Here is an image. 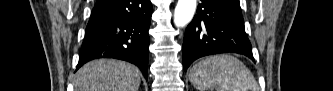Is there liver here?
I'll use <instances>...</instances> for the list:
<instances>
[{
    "instance_id": "6515ba94",
    "label": "liver",
    "mask_w": 333,
    "mask_h": 91,
    "mask_svg": "<svg viewBox=\"0 0 333 91\" xmlns=\"http://www.w3.org/2000/svg\"><path fill=\"white\" fill-rule=\"evenodd\" d=\"M137 67L114 59H99L82 66L74 80L75 91H138Z\"/></svg>"
}]
</instances>
